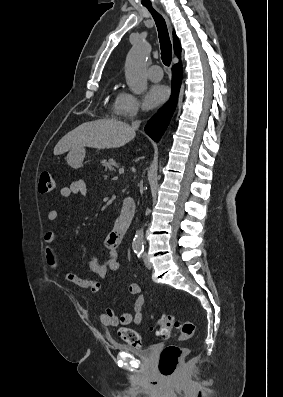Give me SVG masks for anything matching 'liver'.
Wrapping results in <instances>:
<instances>
[{"mask_svg":"<svg viewBox=\"0 0 283 397\" xmlns=\"http://www.w3.org/2000/svg\"><path fill=\"white\" fill-rule=\"evenodd\" d=\"M136 135L135 129L116 119H98L81 124L56 144L54 155L84 147L111 149L124 146Z\"/></svg>","mask_w":283,"mask_h":397,"instance_id":"liver-1","label":"liver"}]
</instances>
